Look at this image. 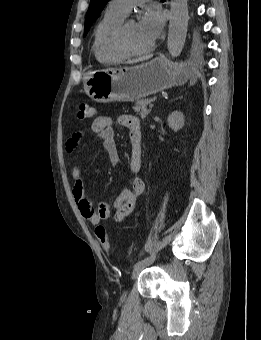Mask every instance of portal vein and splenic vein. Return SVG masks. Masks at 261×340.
<instances>
[{
    "mask_svg": "<svg viewBox=\"0 0 261 340\" xmlns=\"http://www.w3.org/2000/svg\"><path fill=\"white\" fill-rule=\"evenodd\" d=\"M153 107H154V104H153V103L149 104V108H150V109H152Z\"/></svg>",
    "mask_w": 261,
    "mask_h": 340,
    "instance_id": "portal-vein-and-splenic-vein-1",
    "label": "portal vein and splenic vein"
}]
</instances>
